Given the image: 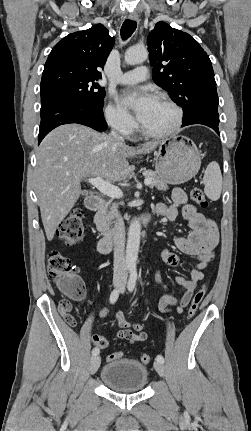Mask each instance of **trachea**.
I'll return each mask as SVG.
<instances>
[{
    "mask_svg": "<svg viewBox=\"0 0 251 431\" xmlns=\"http://www.w3.org/2000/svg\"><path fill=\"white\" fill-rule=\"evenodd\" d=\"M136 21L126 19L121 27L120 33L123 40L128 39L136 30Z\"/></svg>",
    "mask_w": 251,
    "mask_h": 431,
    "instance_id": "1",
    "label": "trachea"
}]
</instances>
